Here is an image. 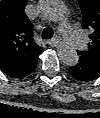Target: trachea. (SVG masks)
<instances>
[{"mask_svg": "<svg viewBox=\"0 0 100 118\" xmlns=\"http://www.w3.org/2000/svg\"><path fill=\"white\" fill-rule=\"evenodd\" d=\"M53 36V30L50 27H46L42 31V38L43 39H51Z\"/></svg>", "mask_w": 100, "mask_h": 118, "instance_id": "trachea-1", "label": "trachea"}]
</instances>
